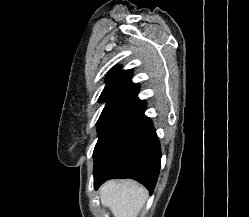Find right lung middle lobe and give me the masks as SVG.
I'll list each match as a JSON object with an SVG mask.
<instances>
[{
	"mask_svg": "<svg viewBox=\"0 0 249 217\" xmlns=\"http://www.w3.org/2000/svg\"><path fill=\"white\" fill-rule=\"evenodd\" d=\"M119 98H120V95H118V94L102 96V97L99 98V101H100V102L106 101V106H105V108L103 109L102 114H101V116H100V118H99L97 124H99L100 120L102 119L103 115H104L105 112L108 110V108H109L111 105H113Z\"/></svg>",
	"mask_w": 249,
	"mask_h": 217,
	"instance_id": "obj_1",
	"label": "right lung middle lobe"
}]
</instances>
